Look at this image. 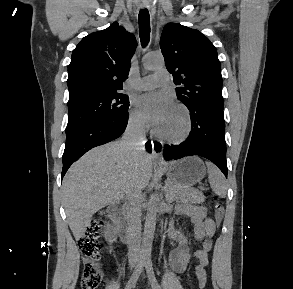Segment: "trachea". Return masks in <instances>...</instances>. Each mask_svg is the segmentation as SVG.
Returning <instances> with one entry per match:
<instances>
[{
    "instance_id": "obj_1",
    "label": "trachea",
    "mask_w": 293,
    "mask_h": 289,
    "mask_svg": "<svg viewBox=\"0 0 293 289\" xmlns=\"http://www.w3.org/2000/svg\"><path fill=\"white\" fill-rule=\"evenodd\" d=\"M139 34L143 47H145L150 40V16L147 9L139 12Z\"/></svg>"
}]
</instances>
